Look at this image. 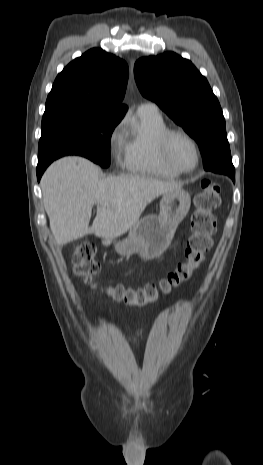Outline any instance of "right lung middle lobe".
<instances>
[{
  "instance_id": "obj_1",
  "label": "right lung middle lobe",
  "mask_w": 263,
  "mask_h": 465,
  "mask_svg": "<svg viewBox=\"0 0 263 465\" xmlns=\"http://www.w3.org/2000/svg\"><path fill=\"white\" fill-rule=\"evenodd\" d=\"M124 111L76 104L46 106L38 147V166L64 155H81L102 167L110 164V139Z\"/></svg>"
}]
</instances>
